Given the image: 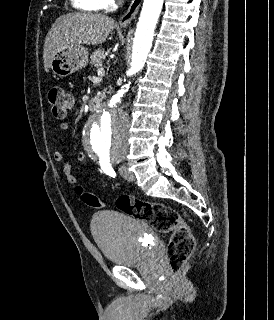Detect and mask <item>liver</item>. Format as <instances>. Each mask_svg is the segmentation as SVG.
<instances>
[{
  "label": "liver",
  "instance_id": "obj_1",
  "mask_svg": "<svg viewBox=\"0 0 274 320\" xmlns=\"http://www.w3.org/2000/svg\"><path fill=\"white\" fill-rule=\"evenodd\" d=\"M115 26V20L103 14L76 12L59 16L45 38L43 50L45 72H49L53 56H57V52L62 48H73L82 44L86 46L103 44Z\"/></svg>",
  "mask_w": 274,
  "mask_h": 320
}]
</instances>
